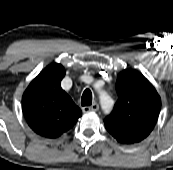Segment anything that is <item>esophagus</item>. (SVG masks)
<instances>
[{
	"label": "esophagus",
	"instance_id": "34e87169",
	"mask_svg": "<svg viewBox=\"0 0 173 170\" xmlns=\"http://www.w3.org/2000/svg\"><path fill=\"white\" fill-rule=\"evenodd\" d=\"M99 109L98 103H93L91 106H85L82 108L83 112H96Z\"/></svg>",
	"mask_w": 173,
	"mask_h": 170
}]
</instances>
